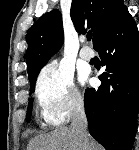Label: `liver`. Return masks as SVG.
<instances>
[{"instance_id": "liver-1", "label": "liver", "mask_w": 139, "mask_h": 150, "mask_svg": "<svg viewBox=\"0 0 139 150\" xmlns=\"http://www.w3.org/2000/svg\"><path fill=\"white\" fill-rule=\"evenodd\" d=\"M80 146L70 127H60L48 134L36 136L27 150H79ZM93 140L88 138L87 150H98Z\"/></svg>"}]
</instances>
